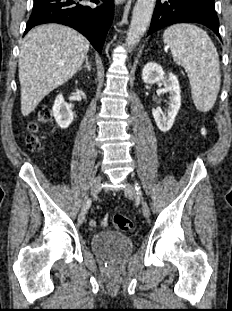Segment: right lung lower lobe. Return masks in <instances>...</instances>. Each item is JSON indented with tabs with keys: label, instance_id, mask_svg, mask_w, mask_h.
I'll list each match as a JSON object with an SVG mask.
<instances>
[{
	"label": "right lung lower lobe",
	"instance_id": "right-lung-lower-lobe-1",
	"mask_svg": "<svg viewBox=\"0 0 232 311\" xmlns=\"http://www.w3.org/2000/svg\"><path fill=\"white\" fill-rule=\"evenodd\" d=\"M81 0H34L33 11L26 25L25 34L34 26L45 23H60L82 33L101 53L105 36L113 20V0L92 9ZM98 3V0H90Z\"/></svg>",
	"mask_w": 232,
	"mask_h": 311
}]
</instances>
